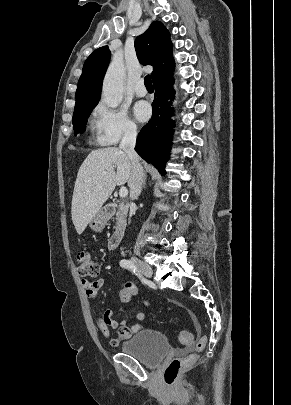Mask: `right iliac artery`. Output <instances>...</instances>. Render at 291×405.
Wrapping results in <instances>:
<instances>
[{"mask_svg": "<svg viewBox=\"0 0 291 405\" xmlns=\"http://www.w3.org/2000/svg\"><path fill=\"white\" fill-rule=\"evenodd\" d=\"M120 266L136 273L142 282H144V283L146 282L145 279L142 277V275L137 271V268L134 266V264L132 262H130L129 260H125V259L121 260Z\"/></svg>", "mask_w": 291, "mask_h": 405, "instance_id": "1", "label": "right iliac artery"}]
</instances>
